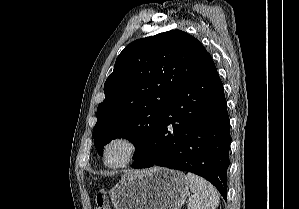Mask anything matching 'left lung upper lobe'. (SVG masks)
Listing matches in <instances>:
<instances>
[{
	"instance_id": "left-lung-upper-lobe-1",
	"label": "left lung upper lobe",
	"mask_w": 299,
	"mask_h": 209,
	"mask_svg": "<svg viewBox=\"0 0 299 209\" xmlns=\"http://www.w3.org/2000/svg\"><path fill=\"white\" fill-rule=\"evenodd\" d=\"M211 55L194 37L171 30L131 42L116 59L104 84L105 99L97 108L94 145L117 137L144 150L172 96L210 61Z\"/></svg>"
}]
</instances>
